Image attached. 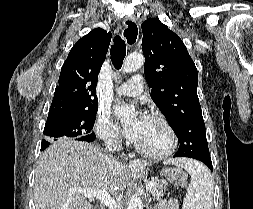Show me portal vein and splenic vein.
I'll use <instances>...</instances> for the list:
<instances>
[{"label": "portal vein and splenic vein", "instance_id": "18ae733b", "mask_svg": "<svg viewBox=\"0 0 253 209\" xmlns=\"http://www.w3.org/2000/svg\"><path fill=\"white\" fill-rule=\"evenodd\" d=\"M154 186V181H150L147 184V190L151 191ZM71 192H78L79 194H82L83 196L87 198H97L101 201V203H104L109 209H113L117 207V203L111 196L105 191V190H99V189H92V188H76L73 189Z\"/></svg>", "mask_w": 253, "mask_h": 209}]
</instances>
